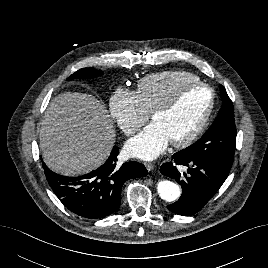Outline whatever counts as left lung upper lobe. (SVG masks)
<instances>
[{
    "instance_id": "1",
    "label": "left lung upper lobe",
    "mask_w": 268,
    "mask_h": 268,
    "mask_svg": "<svg viewBox=\"0 0 268 268\" xmlns=\"http://www.w3.org/2000/svg\"><path fill=\"white\" fill-rule=\"evenodd\" d=\"M223 105L214 123L193 145L177 152L185 158L214 160L227 167L232 166L236 127L233 104L223 86H220Z\"/></svg>"
}]
</instances>
